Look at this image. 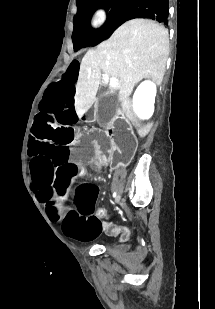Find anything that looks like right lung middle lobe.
<instances>
[{
  "label": "right lung middle lobe",
  "instance_id": "obj_1",
  "mask_svg": "<svg viewBox=\"0 0 215 309\" xmlns=\"http://www.w3.org/2000/svg\"><path fill=\"white\" fill-rule=\"evenodd\" d=\"M132 0H77V15L72 35L74 51L95 46L107 39L117 28V22ZM97 8L109 11L105 24L97 30L90 27V17Z\"/></svg>",
  "mask_w": 215,
  "mask_h": 309
}]
</instances>
